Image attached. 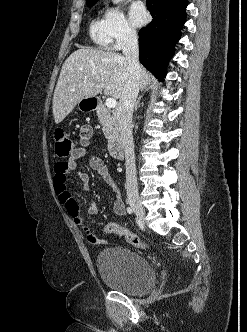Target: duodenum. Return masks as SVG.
Wrapping results in <instances>:
<instances>
[{
  "label": "duodenum",
  "mask_w": 247,
  "mask_h": 332,
  "mask_svg": "<svg viewBox=\"0 0 247 332\" xmlns=\"http://www.w3.org/2000/svg\"><path fill=\"white\" fill-rule=\"evenodd\" d=\"M91 105L93 108H97L100 103L97 100H92ZM109 153L112 157L121 159L124 156V146L119 136L112 138L108 145Z\"/></svg>",
  "instance_id": "1"
}]
</instances>
